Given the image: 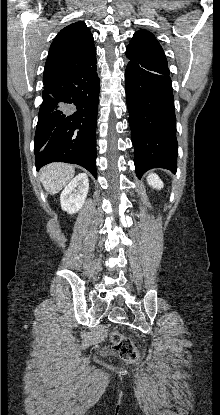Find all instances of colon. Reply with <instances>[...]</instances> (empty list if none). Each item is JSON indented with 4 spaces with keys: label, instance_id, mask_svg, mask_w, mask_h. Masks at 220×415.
Wrapping results in <instances>:
<instances>
[{
    "label": "colon",
    "instance_id": "1",
    "mask_svg": "<svg viewBox=\"0 0 220 415\" xmlns=\"http://www.w3.org/2000/svg\"><path fill=\"white\" fill-rule=\"evenodd\" d=\"M110 340L113 350L123 361L131 363L137 360L138 354L131 338L124 336L117 330H113L110 333Z\"/></svg>",
    "mask_w": 220,
    "mask_h": 415
}]
</instances>
